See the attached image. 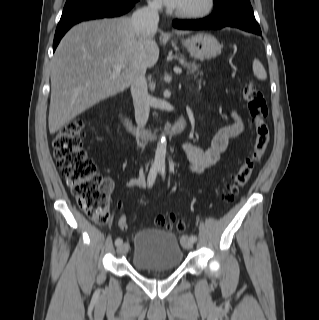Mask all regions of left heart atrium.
Here are the masks:
<instances>
[{
	"instance_id": "1",
	"label": "left heart atrium",
	"mask_w": 319,
	"mask_h": 320,
	"mask_svg": "<svg viewBox=\"0 0 319 320\" xmlns=\"http://www.w3.org/2000/svg\"><path fill=\"white\" fill-rule=\"evenodd\" d=\"M165 5L172 9H179L184 4L185 0H162Z\"/></svg>"
}]
</instances>
